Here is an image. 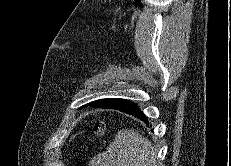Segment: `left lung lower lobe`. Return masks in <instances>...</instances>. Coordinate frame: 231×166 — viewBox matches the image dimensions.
Instances as JSON below:
<instances>
[{
	"label": "left lung lower lobe",
	"instance_id": "1",
	"mask_svg": "<svg viewBox=\"0 0 231 166\" xmlns=\"http://www.w3.org/2000/svg\"><path fill=\"white\" fill-rule=\"evenodd\" d=\"M91 107L95 108H107V109H116L127 114H130L138 119L144 121L148 124L147 117L144 113L139 109V107L126 99H115V98H107V99H100L97 101H93L90 103Z\"/></svg>",
	"mask_w": 231,
	"mask_h": 166
}]
</instances>
